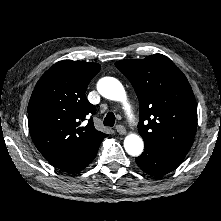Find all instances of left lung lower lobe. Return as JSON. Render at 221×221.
Returning a JSON list of instances; mask_svg holds the SVG:
<instances>
[{"label":"left lung lower lobe","instance_id":"obj_1","mask_svg":"<svg viewBox=\"0 0 221 221\" xmlns=\"http://www.w3.org/2000/svg\"><path fill=\"white\" fill-rule=\"evenodd\" d=\"M186 154L145 143L144 152L136 158L137 165L147 174L162 176L176 169Z\"/></svg>","mask_w":221,"mask_h":221}]
</instances>
